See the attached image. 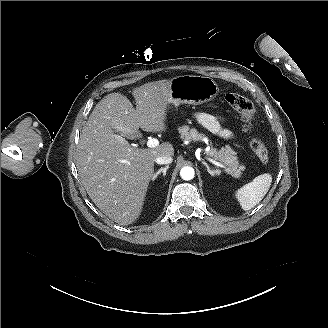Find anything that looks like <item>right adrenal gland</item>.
Here are the masks:
<instances>
[{"instance_id": "2a0ac1e0", "label": "right adrenal gland", "mask_w": 328, "mask_h": 328, "mask_svg": "<svg viewBox=\"0 0 328 328\" xmlns=\"http://www.w3.org/2000/svg\"><path fill=\"white\" fill-rule=\"evenodd\" d=\"M169 168V165H167L165 168L161 167L157 173L154 174L153 176V180H155L157 178V176L163 172V175H166V170Z\"/></svg>"}]
</instances>
